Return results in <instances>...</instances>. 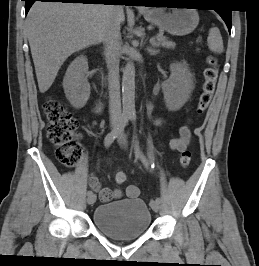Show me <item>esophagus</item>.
<instances>
[{
	"label": "esophagus",
	"instance_id": "34e87169",
	"mask_svg": "<svg viewBox=\"0 0 259 266\" xmlns=\"http://www.w3.org/2000/svg\"><path fill=\"white\" fill-rule=\"evenodd\" d=\"M138 9H140V10H144V8H143V7H139Z\"/></svg>",
	"mask_w": 259,
	"mask_h": 266
}]
</instances>
